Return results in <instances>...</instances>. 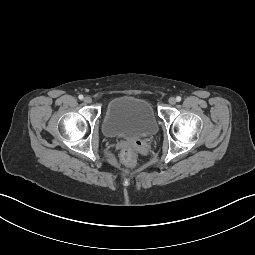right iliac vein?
Wrapping results in <instances>:
<instances>
[{"label": "right iliac vein", "mask_w": 255, "mask_h": 255, "mask_svg": "<svg viewBox=\"0 0 255 255\" xmlns=\"http://www.w3.org/2000/svg\"><path fill=\"white\" fill-rule=\"evenodd\" d=\"M84 102L87 103V104H90L92 102L91 97H89V96L85 97Z\"/></svg>", "instance_id": "right-iliac-vein-1"}]
</instances>
